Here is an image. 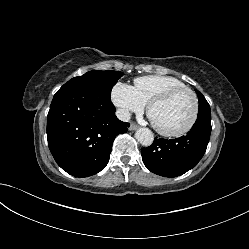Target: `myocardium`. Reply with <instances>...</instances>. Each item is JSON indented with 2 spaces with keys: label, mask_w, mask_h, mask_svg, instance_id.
Returning <instances> with one entry per match:
<instances>
[{
  "label": "myocardium",
  "mask_w": 249,
  "mask_h": 249,
  "mask_svg": "<svg viewBox=\"0 0 249 249\" xmlns=\"http://www.w3.org/2000/svg\"><path fill=\"white\" fill-rule=\"evenodd\" d=\"M180 93H188L191 95L192 99H193V113L191 116V119L189 120V122L181 129L176 130V131H166L161 129L160 127H158L157 125H154V128L156 129V131L165 136V137H180L182 135H185L186 133H188L193 126L195 125L197 119H198V115H199V99L197 94L190 89L189 87H178V88H173L170 89L166 92H164L163 94L155 97L154 99H152L149 103H148V108H147V112L149 117L151 118V112L153 110V108L159 104H162L164 102L169 101L170 99H172L173 97H175L176 95L180 94Z\"/></svg>",
  "instance_id": "obj_1"
}]
</instances>
